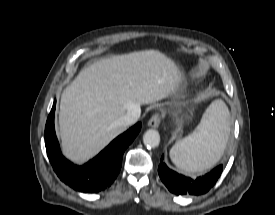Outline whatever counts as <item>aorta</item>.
<instances>
[{
    "instance_id": "762f6f07",
    "label": "aorta",
    "mask_w": 275,
    "mask_h": 215,
    "mask_svg": "<svg viewBox=\"0 0 275 215\" xmlns=\"http://www.w3.org/2000/svg\"><path fill=\"white\" fill-rule=\"evenodd\" d=\"M143 142L149 148H155L160 144V135L158 131L150 129L143 135Z\"/></svg>"
}]
</instances>
